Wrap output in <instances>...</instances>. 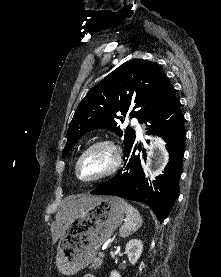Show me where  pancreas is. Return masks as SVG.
<instances>
[{
    "label": "pancreas",
    "instance_id": "1",
    "mask_svg": "<svg viewBox=\"0 0 221 277\" xmlns=\"http://www.w3.org/2000/svg\"><path fill=\"white\" fill-rule=\"evenodd\" d=\"M103 263L102 256L99 255L98 258H96L93 262L92 265L89 267L91 270H98Z\"/></svg>",
    "mask_w": 221,
    "mask_h": 277
}]
</instances>
